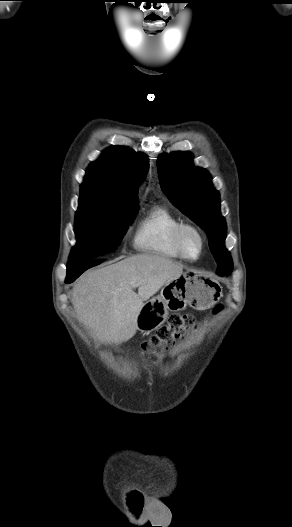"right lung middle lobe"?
Masks as SVG:
<instances>
[{
    "label": "right lung middle lobe",
    "mask_w": 292,
    "mask_h": 527,
    "mask_svg": "<svg viewBox=\"0 0 292 527\" xmlns=\"http://www.w3.org/2000/svg\"><path fill=\"white\" fill-rule=\"evenodd\" d=\"M138 202H110L101 197L80 193L75 217L77 244L69 261H86L113 252L119 246Z\"/></svg>",
    "instance_id": "right-lung-middle-lobe-1"
}]
</instances>
